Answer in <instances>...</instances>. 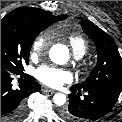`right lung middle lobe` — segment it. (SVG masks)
<instances>
[{"mask_svg":"<svg viewBox=\"0 0 122 122\" xmlns=\"http://www.w3.org/2000/svg\"><path fill=\"white\" fill-rule=\"evenodd\" d=\"M50 24H33L17 16L1 19V67L22 72L23 63L29 62L31 46L40 32Z\"/></svg>","mask_w":122,"mask_h":122,"instance_id":"dd1d6c3e","label":"right lung middle lobe"}]
</instances>
